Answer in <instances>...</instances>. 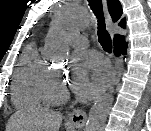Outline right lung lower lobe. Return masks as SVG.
I'll list each match as a JSON object with an SVG mask.
<instances>
[{"label": "right lung lower lobe", "instance_id": "98d812e1", "mask_svg": "<svg viewBox=\"0 0 151 131\" xmlns=\"http://www.w3.org/2000/svg\"><path fill=\"white\" fill-rule=\"evenodd\" d=\"M127 44L123 38L114 41V54L119 56L121 53L126 54Z\"/></svg>", "mask_w": 151, "mask_h": 131}]
</instances>
